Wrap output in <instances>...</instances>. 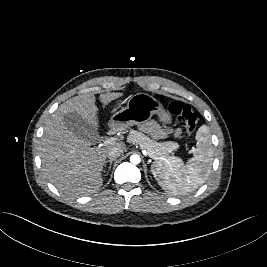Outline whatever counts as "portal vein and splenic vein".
<instances>
[{
	"instance_id": "portal-vein-and-splenic-vein-1",
	"label": "portal vein and splenic vein",
	"mask_w": 267,
	"mask_h": 267,
	"mask_svg": "<svg viewBox=\"0 0 267 267\" xmlns=\"http://www.w3.org/2000/svg\"><path fill=\"white\" fill-rule=\"evenodd\" d=\"M115 142H116V138H107V139L103 142V145L113 144V143H115ZM142 152H143V154H144L145 156H149V157L153 158V155H152L151 153H148L146 150H143Z\"/></svg>"
}]
</instances>
